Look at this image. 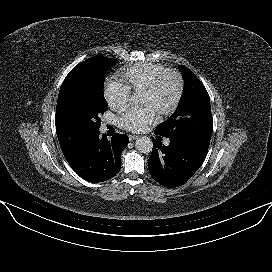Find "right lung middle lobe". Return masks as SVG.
Segmentation results:
<instances>
[{
    "instance_id": "right-lung-middle-lobe-1",
    "label": "right lung middle lobe",
    "mask_w": 272,
    "mask_h": 272,
    "mask_svg": "<svg viewBox=\"0 0 272 272\" xmlns=\"http://www.w3.org/2000/svg\"><path fill=\"white\" fill-rule=\"evenodd\" d=\"M117 63L116 59L94 56L69 72L56 108L67 125L85 135L94 136L99 131L100 116L108 109L103 94L105 76Z\"/></svg>"
}]
</instances>
